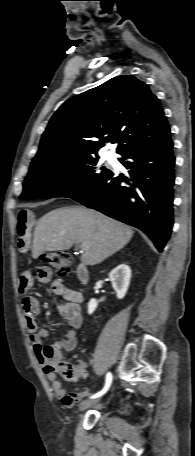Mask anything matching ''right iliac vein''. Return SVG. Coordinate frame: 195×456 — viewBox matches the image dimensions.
<instances>
[{
	"instance_id": "63e3f726",
	"label": "right iliac vein",
	"mask_w": 195,
	"mask_h": 456,
	"mask_svg": "<svg viewBox=\"0 0 195 456\" xmlns=\"http://www.w3.org/2000/svg\"><path fill=\"white\" fill-rule=\"evenodd\" d=\"M98 402H99V399H90V400L83 401L80 404L79 409H80V411H83V410L95 405Z\"/></svg>"
}]
</instances>
